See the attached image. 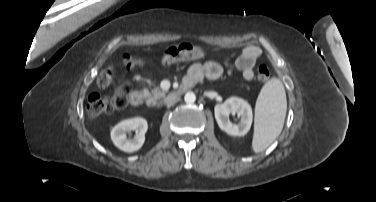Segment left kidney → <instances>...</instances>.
<instances>
[{
	"label": "left kidney",
	"instance_id": "left-kidney-1",
	"mask_svg": "<svg viewBox=\"0 0 376 202\" xmlns=\"http://www.w3.org/2000/svg\"><path fill=\"white\" fill-rule=\"evenodd\" d=\"M215 119L221 130L232 136H244L251 128L253 113L249 103L238 97H230L222 104L215 105ZM238 113L240 121L233 124L228 116Z\"/></svg>",
	"mask_w": 376,
	"mask_h": 202
}]
</instances>
